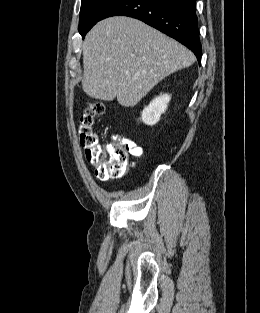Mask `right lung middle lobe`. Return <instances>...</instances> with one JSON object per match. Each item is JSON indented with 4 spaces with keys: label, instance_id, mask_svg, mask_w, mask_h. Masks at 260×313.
<instances>
[{
    "label": "right lung middle lobe",
    "instance_id": "right-lung-middle-lobe-1",
    "mask_svg": "<svg viewBox=\"0 0 260 313\" xmlns=\"http://www.w3.org/2000/svg\"><path fill=\"white\" fill-rule=\"evenodd\" d=\"M116 1L117 0H82L78 30L83 38Z\"/></svg>",
    "mask_w": 260,
    "mask_h": 313
}]
</instances>
